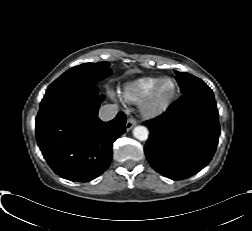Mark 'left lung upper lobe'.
<instances>
[{
    "label": "left lung upper lobe",
    "instance_id": "5c2ea615",
    "mask_svg": "<svg viewBox=\"0 0 252 231\" xmlns=\"http://www.w3.org/2000/svg\"><path fill=\"white\" fill-rule=\"evenodd\" d=\"M177 82L181 88V92L187 93L197 90H210V88L201 79L186 72L175 71Z\"/></svg>",
    "mask_w": 252,
    "mask_h": 231
}]
</instances>
